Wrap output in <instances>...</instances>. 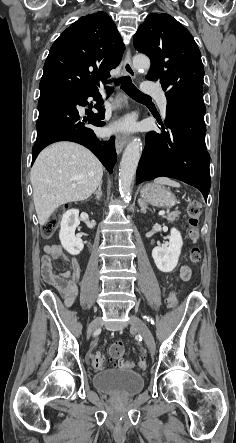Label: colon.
Listing matches in <instances>:
<instances>
[{"instance_id":"1","label":"colon","mask_w":236,"mask_h":443,"mask_svg":"<svg viewBox=\"0 0 236 443\" xmlns=\"http://www.w3.org/2000/svg\"><path fill=\"white\" fill-rule=\"evenodd\" d=\"M201 204L197 200H191L188 203L187 206V213L189 216V238L196 242L200 237V232L198 228V219L201 214ZM60 223V215L59 214H53L49 217V219L42 225L41 233L44 238H50L57 230ZM190 260L193 263H198L201 260V252L198 247H193L190 251ZM170 303L172 306L176 305V298L173 293L170 294L169 297ZM125 353V344L122 340H116L114 341L110 347H109V355L112 359L118 361V366L130 369L134 366V362L130 359L124 360L122 359L123 355ZM91 364L93 368L97 370H104L108 368V364L105 361V358L100 355L96 354L91 359ZM139 368L141 370H146L147 363L144 359L140 360L139 362Z\"/></svg>"}]
</instances>
